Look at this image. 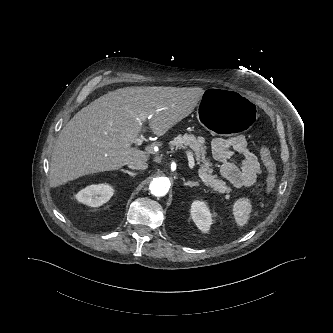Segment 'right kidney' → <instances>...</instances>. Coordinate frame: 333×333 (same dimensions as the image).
<instances>
[{"label": "right kidney", "mask_w": 333, "mask_h": 333, "mask_svg": "<svg viewBox=\"0 0 333 333\" xmlns=\"http://www.w3.org/2000/svg\"><path fill=\"white\" fill-rule=\"evenodd\" d=\"M113 193V188L108 184L90 185L79 191L76 199L88 206L98 207L109 201Z\"/></svg>", "instance_id": "obj_1"}]
</instances>
